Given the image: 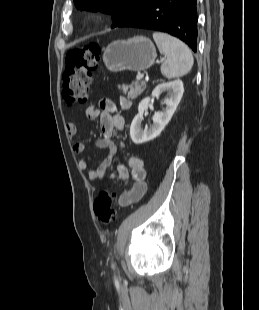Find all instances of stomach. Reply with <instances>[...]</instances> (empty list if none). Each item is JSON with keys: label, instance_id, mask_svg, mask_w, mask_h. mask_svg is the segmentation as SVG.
<instances>
[{"label": "stomach", "instance_id": "0dacf381", "mask_svg": "<svg viewBox=\"0 0 259 310\" xmlns=\"http://www.w3.org/2000/svg\"><path fill=\"white\" fill-rule=\"evenodd\" d=\"M156 49L152 41L143 36L110 43L103 53V61L111 72L143 71L152 66Z\"/></svg>", "mask_w": 259, "mask_h": 310}]
</instances>
